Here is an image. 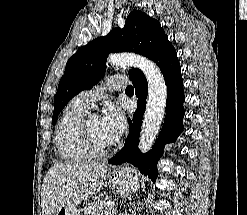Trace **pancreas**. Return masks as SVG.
Instances as JSON below:
<instances>
[{
  "label": "pancreas",
  "mask_w": 247,
  "mask_h": 215,
  "mask_svg": "<svg viewBox=\"0 0 247 215\" xmlns=\"http://www.w3.org/2000/svg\"><path fill=\"white\" fill-rule=\"evenodd\" d=\"M85 215H114L112 207L107 206V202L95 200L83 208Z\"/></svg>",
  "instance_id": "1"
}]
</instances>
